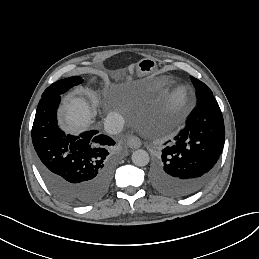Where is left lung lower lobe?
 <instances>
[{
  "instance_id": "obj_1",
  "label": "left lung lower lobe",
  "mask_w": 259,
  "mask_h": 259,
  "mask_svg": "<svg viewBox=\"0 0 259 259\" xmlns=\"http://www.w3.org/2000/svg\"><path fill=\"white\" fill-rule=\"evenodd\" d=\"M198 97V106L175 142L162 150L150 171V181L160 193L187 197L208 183L225 141V127L212 93Z\"/></svg>"
}]
</instances>
